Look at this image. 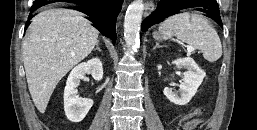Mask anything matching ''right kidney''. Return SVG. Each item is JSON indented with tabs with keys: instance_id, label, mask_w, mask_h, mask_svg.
I'll list each match as a JSON object with an SVG mask.
<instances>
[{
	"instance_id": "1",
	"label": "right kidney",
	"mask_w": 257,
	"mask_h": 130,
	"mask_svg": "<svg viewBox=\"0 0 257 130\" xmlns=\"http://www.w3.org/2000/svg\"><path fill=\"white\" fill-rule=\"evenodd\" d=\"M87 73H91L96 81L103 78L102 62L99 58H92L79 64L68 76L64 89V111L67 118L73 123L81 122L93 106V100L81 99L78 96L77 87Z\"/></svg>"
}]
</instances>
